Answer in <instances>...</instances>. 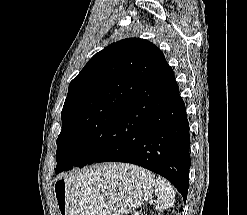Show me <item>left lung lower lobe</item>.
<instances>
[{"label":"left lung lower lobe","mask_w":247,"mask_h":215,"mask_svg":"<svg viewBox=\"0 0 247 215\" xmlns=\"http://www.w3.org/2000/svg\"><path fill=\"white\" fill-rule=\"evenodd\" d=\"M103 142L94 154L83 149L76 166L110 161L136 164L168 179L186 201L191 165L188 120L174 73L165 59Z\"/></svg>","instance_id":"obj_1"}]
</instances>
